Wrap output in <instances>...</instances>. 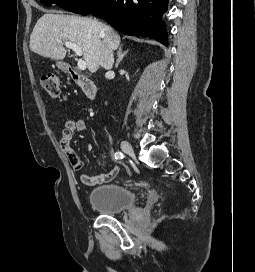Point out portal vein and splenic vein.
<instances>
[{
    "label": "portal vein and splenic vein",
    "instance_id": "1",
    "mask_svg": "<svg viewBox=\"0 0 255 272\" xmlns=\"http://www.w3.org/2000/svg\"><path fill=\"white\" fill-rule=\"evenodd\" d=\"M57 41H58L59 43H62L61 40H57ZM64 45H65L67 48L72 49V50L75 52V54H76L77 56H81L82 53H83V52H82V49H81L77 44H75V43L66 41V42H64ZM77 66H78V68H79L80 70H85L86 67H87V64H86V62H85L84 60L78 59Z\"/></svg>",
    "mask_w": 255,
    "mask_h": 272
}]
</instances>
